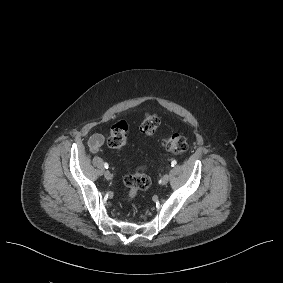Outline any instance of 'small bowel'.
<instances>
[{
	"label": "small bowel",
	"instance_id": "1",
	"mask_svg": "<svg viewBox=\"0 0 283 283\" xmlns=\"http://www.w3.org/2000/svg\"><path fill=\"white\" fill-rule=\"evenodd\" d=\"M105 143V137L102 133L94 134L89 140V148L91 152L97 153Z\"/></svg>",
	"mask_w": 283,
	"mask_h": 283
}]
</instances>
